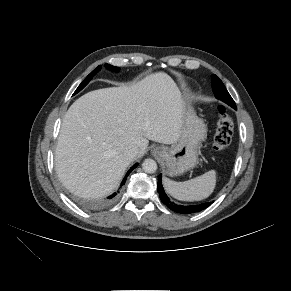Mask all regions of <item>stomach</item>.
<instances>
[{
    "label": "stomach",
    "instance_id": "obj_1",
    "mask_svg": "<svg viewBox=\"0 0 291 291\" xmlns=\"http://www.w3.org/2000/svg\"><path fill=\"white\" fill-rule=\"evenodd\" d=\"M206 135L207 127L203 120L197 116L193 107L185 106L178 141L170 147H157L153 153L165 163L169 176L180 175L196 166L199 146Z\"/></svg>",
    "mask_w": 291,
    "mask_h": 291
}]
</instances>
